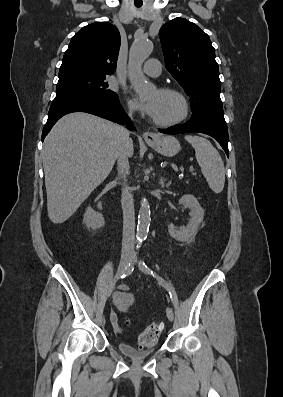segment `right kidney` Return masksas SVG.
Instances as JSON below:
<instances>
[{"mask_svg": "<svg viewBox=\"0 0 283 397\" xmlns=\"http://www.w3.org/2000/svg\"><path fill=\"white\" fill-rule=\"evenodd\" d=\"M83 222L92 230H97L105 224L104 217L102 215H97L90 207L86 209Z\"/></svg>", "mask_w": 283, "mask_h": 397, "instance_id": "right-kidney-1", "label": "right kidney"}]
</instances>
